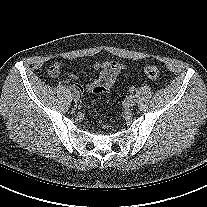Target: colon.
<instances>
[{
  "instance_id": "5ec220e1",
  "label": "colon",
  "mask_w": 207,
  "mask_h": 207,
  "mask_svg": "<svg viewBox=\"0 0 207 207\" xmlns=\"http://www.w3.org/2000/svg\"><path fill=\"white\" fill-rule=\"evenodd\" d=\"M144 73L148 78L154 79V80L158 79L161 75L158 67L154 65H146L144 67Z\"/></svg>"
}]
</instances>
